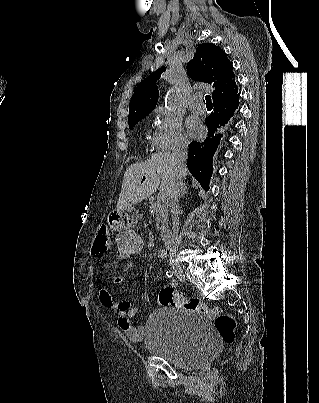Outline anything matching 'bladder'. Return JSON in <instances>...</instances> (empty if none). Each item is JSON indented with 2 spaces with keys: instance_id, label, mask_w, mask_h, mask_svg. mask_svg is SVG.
I'll list each match as a JSON object with an SVG mask.
<instances>
[{
  "instance_id": "31cf9c89",
  "label": "bladder",
  "mask_w": 319,
  "mask_h": 403,
  "mask_svg": "<svg viewBox=\"0 0 319 403\" xmlns=\"http://www.w3.org/2000/svg\"><path fill=\"white\" fill-rule=\"evenodd\" d=\"M144 343L151 354L184 369L201 367L220 348L208 318L181 308L155 310L145 325Z\"/></svg>"
}]
</instances>
